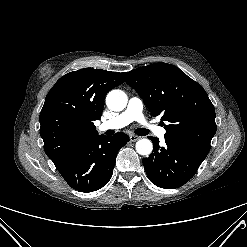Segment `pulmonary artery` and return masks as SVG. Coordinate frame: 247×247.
I'll use <instances>...</instances> for the list:
<instances>
[{
  "instance_id": "pulmonary-artery-1",
  "label": "pulmonary artery",
  "mask_w": 247,
  "mask_h": 247,
  "mask_svg": "<svg viewBox=\"0 0 247 247\" xmlns=\"http://www.w3.org/2000/svg\"><path fill=\"white\" fill-rule=\"evenodd\" d=\"M133 121H137L144 125L150 132L155 134L160 139L164 138L165 129L148 122L143 114L142 101L138 97H132L127 105V108L116 115L115 117L101 123L98 127L100 131H106L109 129H120Z\"/></svg>"
}]
</instances>
